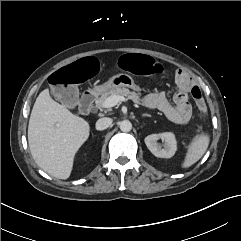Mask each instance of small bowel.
Segmentation results:
<instances>
[{
    "instance_id": "1",
    "label": "small bowel",
    "mask_w": 241,
    "mask_h": 241,
    "mask_svg": "<svg viewBox=\"0 0 241 241\" xmlns=\"http://www.w3.org/2000/svg\"><path fill=\"white\" fill-rule=\"evenodd\" d=\"M175 80L178 90L172 101L165 92L160 91L145 95L142 98V104L148 108L160 110L174 123L186 124L192 115L189 93L192 94V90L199 87L189 73L182 69L176 71Z\"/></svg>"
}]
</instances>
